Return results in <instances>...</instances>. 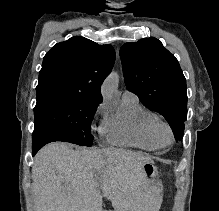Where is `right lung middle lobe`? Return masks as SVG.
I'll return each mask as SVG.
<instances>
[{
	"label": "right lung middle lobe",
	"mask_w": 219,
	"mask_h": 211,
	"mask_svg": "<svg viewBox=\"0 0 219 211\" xmlns=\"http://www.w3.org/2000/svg\"><path fill=\"white\" fill-rule=\"evenodd\" d=\"M36 96L34 135L60 133L77 139L78 145H92L91 122L101 101L63 92H46Z\"/></svg>",
	"instance_id": "dd1d6c3e"
}]
</instances>
